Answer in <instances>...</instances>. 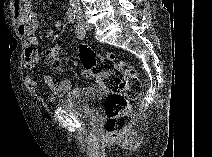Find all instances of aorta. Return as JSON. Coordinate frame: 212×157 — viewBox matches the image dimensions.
<instances>
[{
    "mask_svg": "<svg viewBox=\"0 0 212 157\" xmlns=\"http://www.w3.org/2000/svg\"><path fill=\"white\" fill-rule=\"evenodd\" d=\"M78 2H79V0L75 1V3H78Z\"/></svg>",
    "mask_w": 212,
    "mask_h": 157,
    "instance_id": "1",
    "label": "aorta"
}]
</instances>
